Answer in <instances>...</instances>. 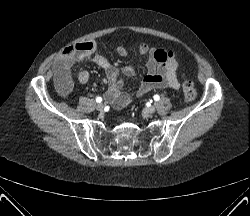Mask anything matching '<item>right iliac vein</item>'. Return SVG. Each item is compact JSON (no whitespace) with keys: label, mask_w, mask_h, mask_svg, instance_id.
Returning <instances> with one entry per match:
<instances>
[{"label":"right iliac vein","mask_w":250,"mask_h":216,"mask_svg":"<svg viewBox=\"0 0 250 216\" xmlns=\"http://www.w3.org/2000/svg\"><path fill=\"white\" fill-rule=\"evenodd\" d=\"M96 109L98 111H102L104 109V105L102 103L97 104Z\"/></svg>","instance_id":"63e3f726"}]
</instances>
